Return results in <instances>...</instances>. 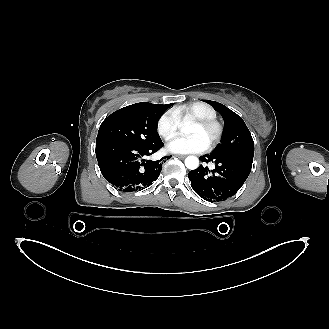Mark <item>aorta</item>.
<instances>
[{
  "instance_id": "762f6f07",
  "label": "aorta",
  "mask_w": 329,
  "mask_h": 329,
  "mask_svg": "<svg viewBox=\"0 0 329 329\" xmlns=\"http://www.w3.org/2000/svg\"><path fill=\"white\" fill-rule=\"evenodd\" d=\"M181 132L183 133L189 132V126L186 123L182 125ZM185 166L190 170H195L199 167V159L196 156H188L185 159Z\"/></svg>"
}]
</instances>
